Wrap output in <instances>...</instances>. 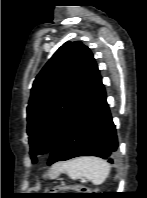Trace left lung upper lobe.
Returning a JSON list of instances; mask_svg holds the SVG:
<instances>
[{"instance_id":"obj_1","label":"left lung upper lobe","mask_w":147,"mask_h":198,"mask_svg":"<svg viewBox=\"0 0 147 198\" xmlns=\"http://www.w3.org/2000/svg\"><path fill=\"white\" fill-rule=\"evenodd\" d=\"M88 47L64 43L37 75L27 107V134L32 163L50 153L88 96L98 75Z\"/></svg>"}]
</instances>
